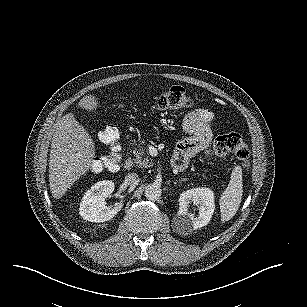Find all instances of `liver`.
<instances>
[{
  "label": "liver",
  "instance_id": "1",
  "mask_svg": "<svg viewBox=\"0 0 307 307\" xmlns=\"http://www.w3.org/2000/svg\"><path fill=\"white\" fill-rule=\"evenodd\" d=\"M79 105L92 109L95 99L86 96ZM94 151L93 141L84 127L73 115L63 116L51 139L49 154V184L53 197L64 195L74 181L85 174L94 157Z\"/></svg>",
  "mask_w": 307,
  "mask_h": 307
}]
</instances>
